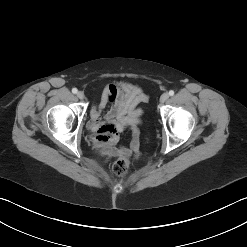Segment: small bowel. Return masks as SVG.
Returning a JSON list of instances; mask_svg holds the SVG:
<instances>
[{"label":"small bowel","instance_id":"1","mask_svg":"<svg viewBox=\"0 0 247 247\" xmlns=\"http://www.w3.org/2000/svg\"><path fill=\"white\" fill-rule=\"evenodd\" d=\"M148 96L142 89L130 83L108 84L97 106L90 111L88 128L95 134V147L105 158L138 157L139 132L143 110L137 108L146 102ZM131 129L132 140L129 147L117 146L120 133Z\"/></svg>","mask_w":247,"mask_h":247}]
</instances>
